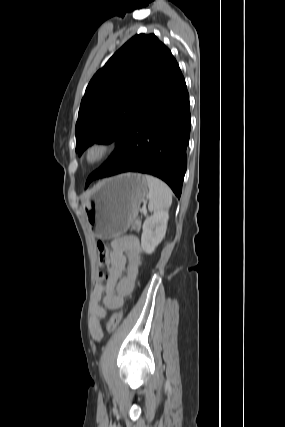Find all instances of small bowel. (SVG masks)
Returning a JSON list of instances; mask_svg holds the SVG:
<instances>
[{
    "label": "small bowel",
    "mask_w": 285,
    "mask_h": 427,
    "mask_svg": "<svg viewBox=\"0 0 285 427\" xmlns=\"http://www.w3.org/2000/svg\"><path fill=\"white\" fill-rule=\"evenodd\" d=\"M142 264V248L138 237L128 235L113 241L108 279L103 285L96 286L91 296V332L94 340L103 339L102 321L106 318V309L115 310L122 307L124 297L130 295L134 289Z\"/></svg>",
    "instance_id": "c3829d8e"
}]
</instances>
